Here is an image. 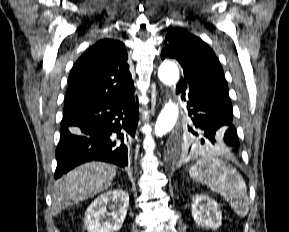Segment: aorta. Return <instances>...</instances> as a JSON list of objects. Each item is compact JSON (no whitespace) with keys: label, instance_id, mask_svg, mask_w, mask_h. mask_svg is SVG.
Here are the masks:
<instances>
[{"label":"aorta","instance_id":"1","mask_svg":"<svg viewBox=\"0 0 289 232\" xmlns=\"http://www.w3.org/2000/svg\"><path fill=\"white\" fill-rule=\"evenodd\" d=\"M158 77L165 85L175 87L179 80V69L173 62L165 61L158 69ZM178 114V105L169 100L158 116L154 130L155 135L161 137L171 131L177 122Z\"/></svg>","mask_w":289,"mask_h":232}]
</instances>
